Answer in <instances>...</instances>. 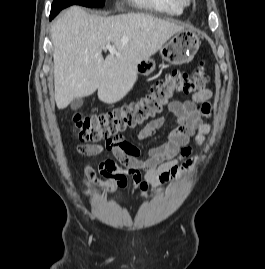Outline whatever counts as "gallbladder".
Masks as SVG:
<instances>
[{
    "instance_id": "bac80fb5",
    "label": "gallbladder",
    "mask_w": 265,
    "mask_h": 269,
    "mask_svg": "<svg viewBox=\"0 0 265 269\" xmlns=\"http://www.w3.org/2000/svg\"><path fill=\"white\" fill-rule=\"evenodd\" d=\"M82 105H83L82 98H76L70 104L71 109H73V110H76V109L80 108Z\"/></svg>"
}]
</instances>
